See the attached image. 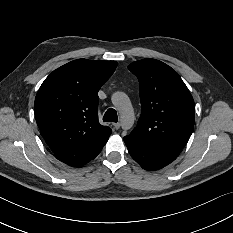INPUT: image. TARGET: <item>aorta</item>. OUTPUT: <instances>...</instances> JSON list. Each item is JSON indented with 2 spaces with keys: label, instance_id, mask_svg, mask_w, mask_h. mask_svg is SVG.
Returning a JSON list of instances; mask_svg holds the SVG:
<instances>
[{
  "label": "aorta",
  "instance_id": "762f6f07",
  "mask_svg": "<svg viewBox=\"0 0 233 233\" xmlns=\"http://www.w3.org/2000/svg\"><path fill=\"white\" fill-rule=\"evenodd\" d=\"M111 100L120 113L122 127L130 129L134 124L135 116L129 97L123 92H116Z\"/></svg>",
  "mask_w": 233,
  "mask_h": 233
}]
</instances>
